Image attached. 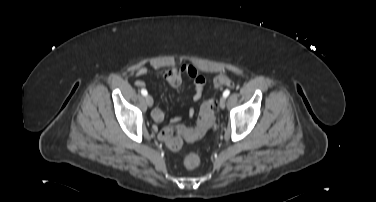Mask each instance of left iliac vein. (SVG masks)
I'll list each match as a JSON object with an SVG mask.
<instances>
[{
    "mask_svg": "<svg viewBox=\"0 0 376 202\" xmlns=\"http://www.w3.org/2000/svg\"><path fill=\"white\" fill-rule=\"evenodd\" d=\"M219 106H220L221 109L225 108V106H226V98L225 97H222L220 99Z\"/></svg>",
    "mask_w": 376,
    "mask_h": 202,
    "instance_id": "obj_1",
    "label": "left iliac vein"
}]
</instances>
